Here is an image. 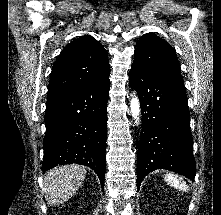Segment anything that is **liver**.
I'll list each match as a JSON object with an SVG mask.
<instances>
[{
  "instance_id": "liver-1",
  "label": "liver",
  "mask_w": 221,
  "mask_h": 215,
  "mask_svg": "<svg viewBox=\"0 0 221 215\" xmlns=\"http://www.w3.org/2000/svg\"><path fill=\"white\" fill-rule=\"evenodd\" d=\"M86 168L80 165H63L48 171L44 178L45 198L50 206L66 202L81 186Z\"/></svg>"
}]
</instances>
